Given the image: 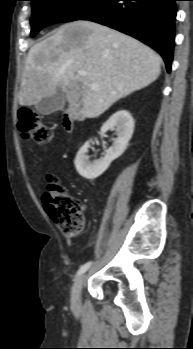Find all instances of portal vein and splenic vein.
<instances>
[{
  "mask_svg": "<svg viewBox=\"0 0 193 349\" xmlns=\"http://www.w3.org/2000/svg\"><path fill=\"white\" fill-rule=\"evenodd\" d=\"M78 75L81 76V77H85L86 76V72L83 71V70H80V71H78ZM90 87H91V89H94V90L98 88V86L96 84H94V83H92L90 85Z\"/></svg>",
  "mask_w": 193,
  "mask_h": 349,
  "instance_id": "portal-vein-and-splenic-vein-1",
  "label": "portal vein and splenic vein"
}]
</instances>
